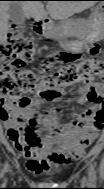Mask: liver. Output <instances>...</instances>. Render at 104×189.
Masks as SVG:
<instances>
[{
  "mask_svg": "<svg viewBox=\"0 0 104 189\" xmlns=\"http://www.w3.org/2000/svg\"><path fill=\"white\" fill-rule=\"evenodd\" d=\"M9 2L3 1L0 4L1 29L0 39L5 42L9 31L8 20L10 18ZM23 9L25 18H33L35 20L44 19L49 14L53 19L65 21L75 13L82 12L95 5L93 1H49L46 10L40 1H21L18 3Z\"/></svg>",
  "mask_w": 104,
  "mask_h": 189,
  "instance_id": "6515ba94",
  "label": "liver"
}]
</instances>
